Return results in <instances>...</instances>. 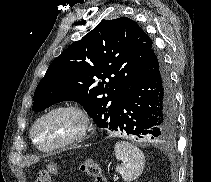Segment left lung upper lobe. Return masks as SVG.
<instances>
[{"label": "left lung upper lobe", "instance_id": "left-lung-upper-lobe-1", "mask_svg": "<svg viewBox=\"0 0 211 182\" xmlns=\"http://www.w3.org/2000/svg\"><path fill=\"white\" fill-rule=\"evenodd\" d=\"M152 49V40L133 20H102L50 64L32 109L75 101L99 128L114 130L119 106Z\"/></svg>", "mask_w": 211, "mask_h": 182}]
</instances>
